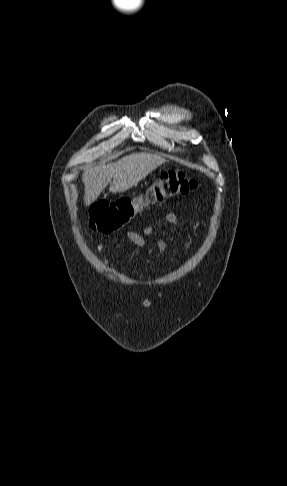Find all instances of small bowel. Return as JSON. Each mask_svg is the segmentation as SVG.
<instances>
[{
	"label": "small bowel",
	"mask_w": 287,
	"mask_h": 486,
	"mask_svg": "<svg viewBox=\"0 0 287 486\" xmlns=\"http://www.w3.org/2000/svg\"><path fill=\"white\" fill-rule=\"evenodd\" d=\"M164 221L170 225H173V226H179L180 225V222H179V219L177 217L176 214L174 213H167L165 216H164ZM155 231V225L154 224H150V225H147L143 228L142 230V233H138V232H134V231H126L125 232V236L126 238L131 242L133 243L134 245L138 246V247H145L147 245V240H146V237L147 236H151ZM155 244L158 248V250L162 253H166L167 252V244L165 243V241L161 238H155Z\"/></svg>",
	"instance_id": "1"
}]
</instances>
